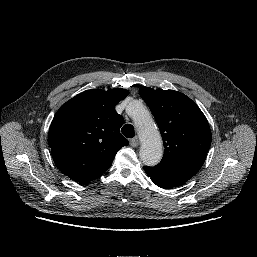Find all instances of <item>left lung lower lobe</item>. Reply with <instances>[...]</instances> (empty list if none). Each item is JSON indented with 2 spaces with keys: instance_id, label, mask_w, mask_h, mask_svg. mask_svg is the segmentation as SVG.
Here are the masks:
<instances>
[{
  "instance_id": "0a47b994",
  "label": "left lung lower lobe",
  "mask_w": 257,
  "mask_h": 257,
  "mask_svg": "<svg viewBox=\"0 0 257 257\" xmlns=\"http://www.w3.org/2000/svg\"><path fill=\"white\" fill-rule=\"evenodd\" d=\"M152 182L161 188H173L182 185L190 178L180 173L165 171L154 167H143Z\"/></svg>"
}]
</instances>
